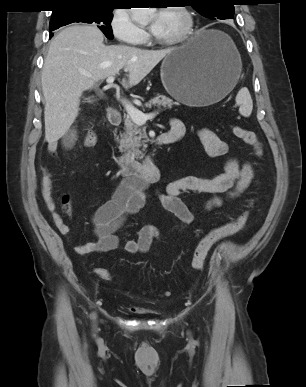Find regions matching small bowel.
Returning a JSON list of instances; mask_svg holds the SVG:
<instances>
[{
    "mask_svg": "<svg viewBox=\"0 0 306 387\" xmlns=\"http://www.w3.org/2000/svg\"><path fill=\"white\" fill-rule=\"evenodd\" d=\"M172 134H179L181 138L185 134V126L179 119L170 121ZM206 153L210 157H221L228 154V145L220 139L212 130L202 128L197 132ZM76 140V132L71 129L63 137L62 144L65 149H70ZM46 151L57 159V144L49 142ZM41 180V193L47 209L51 213L53 222L59 232L66 234L69 231L61 215L56 210V202L52 195L53 175L43 168ZM253 179V169L249 163H240L235 158L226 161L224 171L212 178H202L188 175L170 182L164 192L158 194L162 206L176 216L183 227L194 221V212L181 198L184 192L210 194L212 197L205 204L206 209L221 206L225 198H235L243 193ZM147 196L146 183L133 180H124L118 186L110 200L100 205L91 216L95 240L77 245L75 251L78 254H93L115 250L121 242L117 234L124 221L134 215L145 203ZM159 229L152 224L143 226L136 239L127 240L123 249L129 254L147 253L153 242L160 241Z\"/></svg>",
    "mask_w": 306,
    "mask_h": 387,
    "instance_id": "1",
    "label": "small bowel"
}]
</instances>
